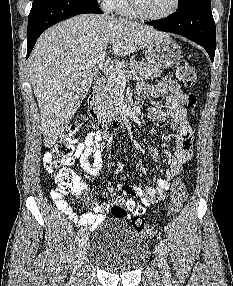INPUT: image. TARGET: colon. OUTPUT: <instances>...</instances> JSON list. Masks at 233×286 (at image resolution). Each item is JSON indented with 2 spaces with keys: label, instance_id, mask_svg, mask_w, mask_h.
Here are the masks:
<instances>
[{
  "label": "colon",
  "instance_id": "1",
  "mask_svg": "<svg viewBox=\"0 0 233 286\" xmlns=\"http://www.w3.org/2000/svg\"><path fill=\"white\" fill-rule=\"evenodd\" d=\"M176 76L181 84L186 88H191L196 81V73L194 67L186 61H179L176 69ZM197 103V96L190 92L187 96V105L191 111ZM86 119L83 115L77 116L73 123L62 133L57 143L48 150L43 157V165L45 170L52 174L59 189L67 191H80L83 184L78 176L69 168L63 167L67 160L72 158L77 137L85 127ZM187 197V189L181 178H177L170 192V199L167 206V213L173 216L179 212ZM111 214L115 218L124 219L129 214V209L122 203H114L111 206ZM132 226L134 230L149 239H155V231L145 222V220L136 214L132 218Z\"/></svg>",
  "mask_w": 233,
  "mask_h": 286
}]
</instances>
